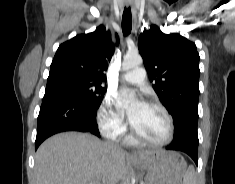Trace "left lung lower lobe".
Instances as JSON below:
<instances>
[{
  "mask_svg": "<svg viewBox=\"0 0 235 184\" xmlns=\"http://www.w3.org/2000/svg\"><path fill=\"white\" fill-rule=\"evenodd\" d=\"M198 139L191 136L174 138L173 142L166 147L168 150L182 151L187 153L198 165Z\"/></svg>",
  "mask_w": 235,
  "mask_h": 184,
  "instance_id": "0a47b994",
  "label": "left lung lower lobe"
}]
</instances>
